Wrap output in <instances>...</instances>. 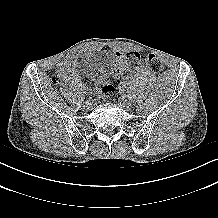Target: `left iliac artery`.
<instances>
[{"label":"left iliac artery","instance_id":"left-iliac-artery-1","mask_svg":"<svg viewBox=\"0 0 218 218\" xmlns=\"http://www.w3.org/2000/svg\"><path fill=\"white\" fill-rule=\"evenodd\" d=\"M132 97H133V96H132L131 94H128V95H127V99H128V100H131Z\"/></svg>","mask_w":218,"mask_h":218}]
</instances>
